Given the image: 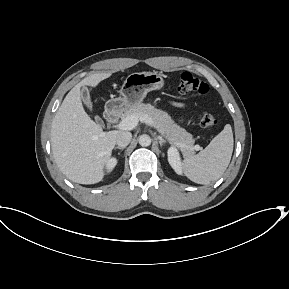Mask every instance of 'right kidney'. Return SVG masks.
Segmentation results:
<instances>
[{"instance_id":"obj_1","label":"right kidney","mask_w":289,"mask_h":289,"mask_svg":"<svg viewBox=\"0 0 289 289\" xmlns=\"http://www.w3.org/2000/svg\"><path fill=\"white\" fill-rule=\"evenodd\" d=\"M117 164V159L116 158H111L108 160L107 164H106V168L108 170V172L112 171L114 169V167Z\"/></svg>"}]
</instances>
